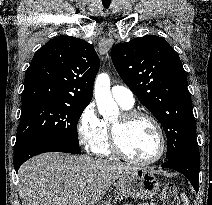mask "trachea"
Masks as SVG:
<instances>
[{"instance_id":"1","label":"trachea","mask_w":212,"mask_h":205,"mask_svg":"<svg viewBox=\"0 0 212 205\" xmlns=\"http://www.w3.org/2000/svg\"><path fill=\"white\" fill-rule=\"evenodd\" d=\"M109 5H110V4H105V3H103V6H104L105 8H108Z\"/></svg>"}]
</instances>
